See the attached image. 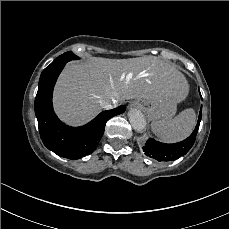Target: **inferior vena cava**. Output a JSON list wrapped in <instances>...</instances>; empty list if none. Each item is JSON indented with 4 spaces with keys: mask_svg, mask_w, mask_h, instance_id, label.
I'll return each instance as SVG.
<instances>
[{
    "mask_svg": "<svg viewBox=\"0 0 229 229\" xmlns=\"http://www.w3.org/2000/svg\"><path fill=\"white\" fill-rule=\"evenodd\" d=\"M115 105H117V100L116 99H113V100H110V101H104L102 103V107H104L105 109H111Z\"/></svg>",
    "mask_w": 229,
    "mask_h": 229,
    "instance_id": "602c4592",
    "label": "inferior vena cava"
}]
</instances>
